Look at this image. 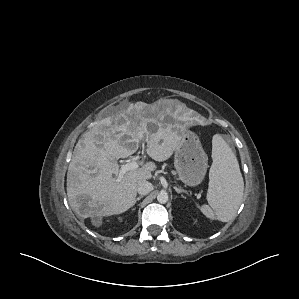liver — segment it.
Segmentation results:
<instances>
[{
	"label": "liver",
	"instance_id": "1",
	"mask_svg": "<svg viewBox=\"0 0 299 299\" xmlns=\"http://www.w3.org/2000/svg\"><path fill=\"white\" fill-rule=\"evenodd\" d=\"M168 107L144 103L120 105L114 115L100 120L77 142L67 172V196L74 213L82 219L121 214L134 205L137 182L152 178L154 162L127 172L120 182L117 160L134 154L141 136L146 152L155 161L169 159L180 136L174 125L164 123Z\"/></svg>",
	"mask_w": 299,
	"mask_h": 299
}]
</instances>
